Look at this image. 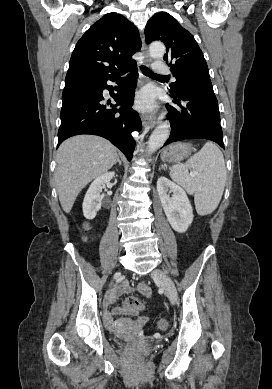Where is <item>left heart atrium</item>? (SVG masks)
<instances>
[{"mask_svg":"<svg viewBox=\"0 0 272 389\" xmlns=\"http://www.w3.org/2000/svg\"><path fill=\"white\" fill-rule=\"evenodd\" d=\"M154 104V96L150 90L140 92L137 97V105L142 109H150Z\"/></svg>","mask_w":272,"mask_h":389,"instance_id":"left-heart-atrium-1","label":"left heart atrium"}]
</instances>
